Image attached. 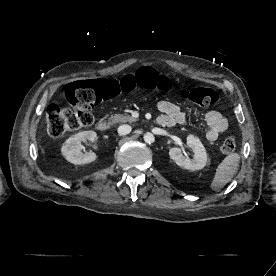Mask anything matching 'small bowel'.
I'll return each instance as SVG.
<instances>
[{
	"label": "small bowel",
	"instance_id": "c3829d8e",
	"mask_svg": "<svg viewBox=\"0 0 276 276\" xmlns=\"http://www.w3.org/2000/svg\"><path fill=\"white\" fill-rule=\"evenodd\" d=\"M162 115L158 118V122L163 126L183 125L187 121L185 112L176 104L169 101H161L158 104ZM204 120L209 129L206 132V139L214 142L219 135L226 131L228 127L227 119L218 111L210 110L204 113Z\"/></svg>",
	"mask_w": 276,
	"mask_h": 276
}]
</instances>
